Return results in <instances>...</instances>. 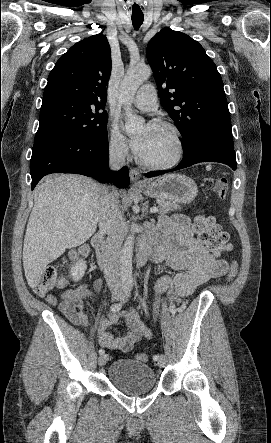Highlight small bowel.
I'll return each mask as SVG.
<instances>
[{
    "instance_id": "c3829d8e",
    "label": "small bowel",
    "mask_w": 271,
    "mask_h": 443,
    "mask_svg": "<svg viewBox=\"0 0 271 443\" xmlns=\"http://www.w3.org/2000/svg\"><path fill=\"white\" fill-rule=\"evenodd\" d=\"M155 259L164 262L175 271L174 275L162 277L156 286L158 293H166L174 299L191 294L196 287L223 276L228 269L224 259L209 252L193 236L189 219L182 215L174 216L162 229L160 247L155 253ZM101 287V282L97 280L95 289L100 291ZM92 298L87 285L82 284L74 289L64 290L58 308L73 324L87 327L85 301ZM47 301L57 304L53 297H48ZM121 321L125 323L126 331L120 336H115L111 329ZM150 336L149 327L133 309L109 314L97 327L99 344L104 348L122 352L131 351L143 338Z\"/></svg>"
}]
</instances>
